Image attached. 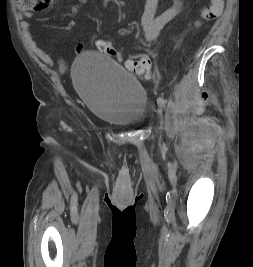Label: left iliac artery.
<instances>
[{
    "instance_id": "left-iliac-artery-1",
    "label": "left iliac artery",
    "mask_w": 253,
    "mask_h": 267,
    "mask_svg": "<svg viewBox=\"0 0 253 267\" xmlns=\"http://www.w3.org/2000/svg\"><path fill=\"white\" fill-rule=\"evenodd\" d=\"M157 102H158V104L160 105V106H165V104H166V100H164L163 98H161V97H159L158 99H157Z\"/></svg>"
}]
</instances>
